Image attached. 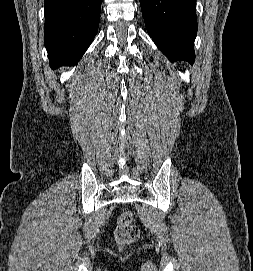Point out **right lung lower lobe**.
I'll return each mask as SVG.
<instances>
[{"label":"right lung lower lobe","instance_id":"98d812e1","mask_svg":"<svg viewBox=\"0 0 253 271\" xmlns=\"http://www.w3.org/2000/svg\"><path fill=\"white\" fill-rule=\"evenodd\" d=\"M101 0H44V42L51 68L74 65L97 34Z\"/></svg>","mask_w":253,"mask_h":271}]
</instances>
